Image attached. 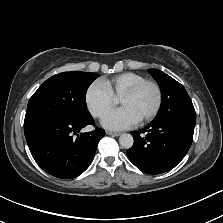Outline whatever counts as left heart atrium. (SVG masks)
Instances as JSON below:
<instances>
[{
  "instance_id": "1",
  "label": "left heart atrium",
  "mask_w": 223,
  "mask_h": 223,
  "mask_svg": "<svg viewBox=\"0 0 223 223\" xmlns=\"http://www.w3.org/2000/svg\"><path fill=\"white\" fill-rule=\"evenodd\" d=\"M139 119L127 107H120L106 114L102 124L109 129H126L135 125Z\"/></svg>"
}]
</instances>
